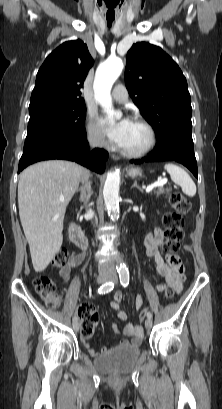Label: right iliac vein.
Returning a JSON list of instances; mask_svg holds the SVG:
<instances>
[{
  "mask_svg": "<svg viewBox=\"0 0 222 409\" xmlns=\"http://www.w3.org/2000/svg\"><path fill=\"white\" fill-rule=\"evenodd\" d=\"M108 280H109V278H108V276L105 275V274H100V275L98 276V278H97V282H98V283H104V282H106V281H108ZM73 328H74V330L78 331L79 328H80L79 323H78V322H73Z\"/></svg>",
  "mask_w": 222,
  "mask_h": 409,
  "instance_id": "obj_1",
  "label": "right iliac vein"
}]
</instances>
